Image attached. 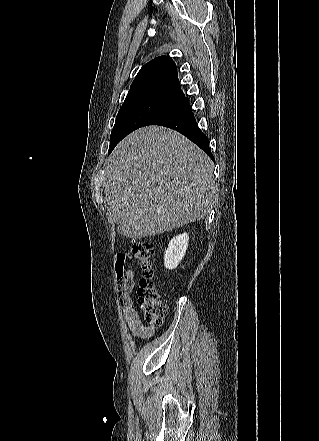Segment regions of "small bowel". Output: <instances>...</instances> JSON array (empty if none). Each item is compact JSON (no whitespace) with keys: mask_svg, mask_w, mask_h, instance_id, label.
<instances>
[{"mask_svg":"<svg viewBox=\"0 0 319 441\" xmlns=\"http://www.w3.org/2000/svg\"><path fill=\"white\" fill-rule=\"evenodd\" d=\"M129 259V253H117L115 256L116 266L121 265L124 268L125 273L123 286L119 289L120 302L122 305L125 321L131 333L136 337L148 338L153 334L154 329L152 327L145 326L142 323L137 310L133 306V301L130 293L134 287V273L131 266L126 265Z\"/></svg>","mask_w":319,"mask_h":441,"instance_id":"c3829d8e","label":"small bowel"}]
</instances>
